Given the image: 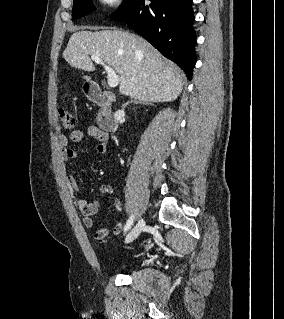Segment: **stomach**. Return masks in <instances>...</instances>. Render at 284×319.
<instances>
[{
  "label": "stomach",
  "instance_id": "1",
  "mask_svg": "<svg viewBox=\"0 0 284 319\" xmlns=\"http://www.w3.org/2000/svg\"><path fill=\"white\" fill-rule=\"evenodd\" d=\"M83 91H84V93H87V92L89 91V86H88V84H87V85H85V87H84Z\"/></svg>",
  "mask_w": 284,
  "mask_h": 319
}]
</instances>
